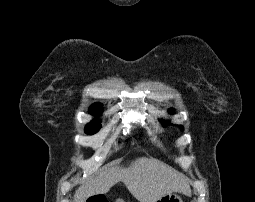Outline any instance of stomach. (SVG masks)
I'll list each match as a JSON object with an SVG mask.
<instances>
[{
	"label": "stomach",
	"instance_id": "obj_1",
	"mask_svg": "<svg viewBox=\"0 0 255 202\" xmlns=\"http://www.w3.org/2000/svg\"><path fill=\"white\" fill-rule=\"evenodd\" d=\"M116 202H124L122 199H117ZM157 202H183L178 191H174L162 196Z\"/></svg>",
	"mask_w": 255,
	"mask_h": 202
}]
</instances>
